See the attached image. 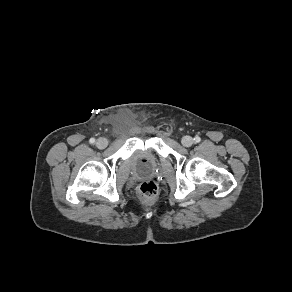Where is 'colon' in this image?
<instances>
[{"mask_svg":"<svg viewBox=\"0 0 292 292\" xmlns=\"http://www.w3.org/2000/svg\"><path fill=\"white\" fill-rule=\"evenodd\" d=\"M141 200L145 203H152L158 196V186L152 180L141 183L138 189Z\"/></svg>","mask_w":292,"mask_h":292,"instance_id":"5ec220e1","label":"colon"}]
</instances>
